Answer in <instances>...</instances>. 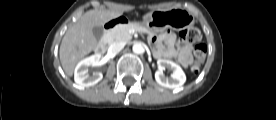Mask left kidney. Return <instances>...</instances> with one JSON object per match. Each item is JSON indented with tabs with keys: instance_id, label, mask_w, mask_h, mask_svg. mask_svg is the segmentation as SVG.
<instances>
[{
	"instance_id": "left-kidney-1",
	"label": "left kidney",
	"mask_w": 276,
	"mask_h": 120,
	"mask_svg": "<svg viewBox=\"0 0 276 120\" xmlns=\"http://www.w3.org/2000/svg\"><path fill=\"white\" fill-rule=\"evenodd\" d=\"M157 64L159 69L155 72V80L159 85L170 89H178L185 83L186 75L179 65L166 59H159ZM165 68L172 71L169 78L163 73Z\"/></svg>"
}]
</instances>
